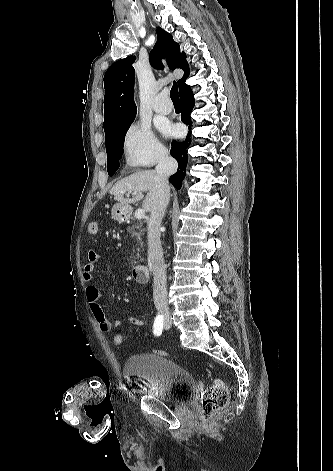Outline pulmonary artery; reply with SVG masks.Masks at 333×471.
<instances>
[{
  "mask_svg": "<svg viewBox=\"0 0 333 471\" xmlns=\"http://www.w3.org/2000/svg\"><path fill=\"white\" fill-rule=\"evenodd\" d=\"M153 108L157 113L168 114L173 110V105L168 99L166 93H160L154 100Z\"/></svg>",
  "mask_w": 333,
  "mask_h": 471,
  "instance_id": "1",
  "label": "pulmonary artery"
}]
</instances>
